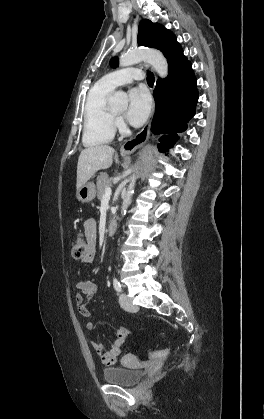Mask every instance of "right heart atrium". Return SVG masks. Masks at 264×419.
I'll use <instances>...</instances> for the list:
<instances>
[{"label":"right heart atrium","instance_id":"d8ad5b80","mask_svg":"<svg viewBox=\"0 0 264 419\" xmlns=\"http://www.w3.org/2000/svg\"><path fill=\"white\" fill-rule=\"evenodd\" d=\"M116 126L120 129L123 130L125 128V124L123 122V120L121 118H117L116 119Z\"/></svg>","mask_w":264,"mask_h":419}]
</instances>
